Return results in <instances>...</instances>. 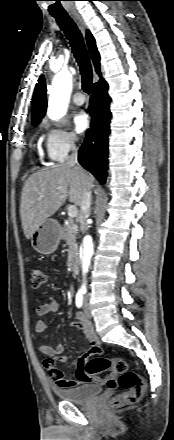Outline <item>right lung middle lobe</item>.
<instances>
[{
    "mask_svg": "<svg viewBox=\"0 0 174 440\" xmlns=\"http://www.w3.org/2000/svg\"><path fill=\"white\" fill-rule=\"evenodd\" d=\"M40 122V120L39 121H35V122H33L35 125H37L38 123Z\"/></svg>",
    "mask_w": 174,
    "mask_h": 440,
    "instance_id": "1",
    "label": "right lung middle lobe"
}]
</instances>
